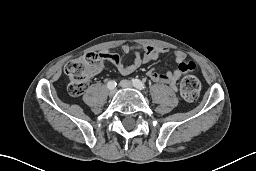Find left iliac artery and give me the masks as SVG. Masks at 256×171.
Masks as SVG:
<instances>
[{"label":"left iliac artery","instance_id":"left-iliac-artery-1","mask_svg":"<svg viewBox=\"0 0 256 171\" xmlns=\"http://www.w3.org/2000/svg\"><path fill=\"white\" fill-rule=\"evenodd\" d=\"M132 83L138 89H146L145 84L139 79H132Z\"/></svg>","mask_w":256,"mask_h":171}]
</instances>
